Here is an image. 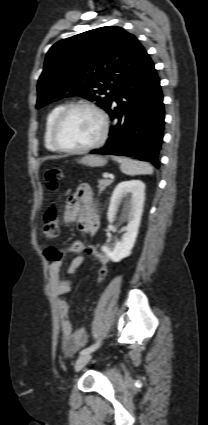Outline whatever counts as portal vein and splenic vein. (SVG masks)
Returning <instances> with one entry per match:
<instances>
[{
  "mask_svg": "<svg viewBox=\"0 0 208 425\" xmlns=\"http://www.w3.org/2000/svg\"><path fill=\"white\" fill-rule=\"evenodd\" d=\"M103 177H104V178H106V179H107V178H111V179H113V178H114V176H113V175H109L108 173H104V174H103Z\"/></svg>",
  "mask_w": 208,
  "mask_h": 425,
  "instance_id": "portal-vein-and-splenic-vein-1",
  "label": "portal vein and splenic vein"
}]
</instances>
